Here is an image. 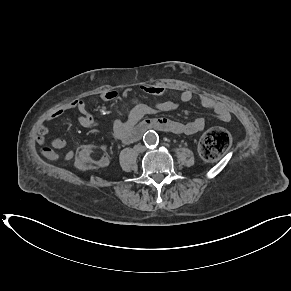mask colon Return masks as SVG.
I'll return each instance as SVG.
<instances>
[{
    "instance_id": "colon-1",
    "label": "colon",
    "mask_w": 291,
    "mask_h": 291,
    "mask_svg": "<svg viewBox=\"0 0 291 291\" xmlns=\"http://www.w3.org/2000/svg\"><path fill=\"white\" fill-rule=\"evenodd\" d=\"M230 143L229 133L223 128L214 127L202 137L199 150L206 160H215L228 150ZM107 161V156L102 149L94 145H84L77 151L75 164L77 168L86 170L102 167L107 164Z\"/></svg>"
}]
</instances>
